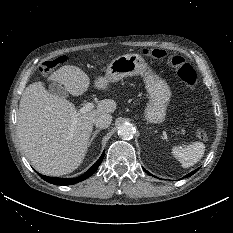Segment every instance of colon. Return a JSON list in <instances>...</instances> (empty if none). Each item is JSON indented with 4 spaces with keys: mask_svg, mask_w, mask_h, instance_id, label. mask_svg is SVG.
Instances as JSON below:
<instances>
[{
    "mask_svg": "<svg viewBox=\"0 0 233 233\" xmlns=\"http://www.w3.org/2000/svg\"><path fill=\"white\" fill-rule=\"evenodd\" d=\"M143 53L146 56L155 58V59H164L167 58V62L175 68L179 78L192 90L194 91L197 84V73L195 69L185 60L184 57L180 55H169L165 50L160 48L155 49H144ZM67 61L65 55L58 56L52 60L45 61L40 68V71L43 75H47L54 68L64 64ZM196 135L198 139L205 141L208 138L207 132L204 129H197Z\"/></svg>",
    "mask_w": 233,
    "mask_h": 233,
    "instance_id": "5ec220e1",
    "label": "colon"
}]
</instances>
